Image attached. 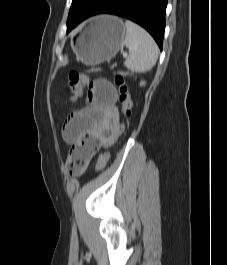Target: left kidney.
Returning <instances> with one entry per match:
<instances>
[{"mask_svg":"<svg viewBox=\"0 0 227 265\" xmlns=\"http://www.w3.org/2000/svg\"><path fill=\"white\" fill-rule=\"evenodd\" d=\"M141 85H145V82H141Z\"/></svg>","mask_w":227,"mask_h":265,"instance_id":"5707ae66","label":"left kidney"}]
</instances>
